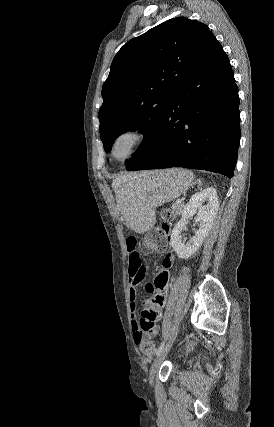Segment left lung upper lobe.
<instances>
[{
	"instance_id": "obj_1",
	"label": "left lung upper lobe",
	"mask_w": 274,
	"mask_h": 427,
	"mask_svg": "<svg viewBox=\"0 0 274 427\" xmlns=\"http://www.w3.org/2000/svg\"><path fill=\"white\" fill-rule=\"evenodd\" d=\"M213 39L207 25L178 17L131 39L119 50L103 84L104 101L99 110L106 153L128 130H138L145 139L125 165L147 152L179 87L201 62Z\"/></svg>"
}]
</instances>
